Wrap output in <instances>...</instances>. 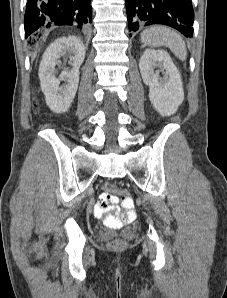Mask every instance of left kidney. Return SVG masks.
I'll use <instances>...</instances> for the list:
<instances>
[{
    "mask_svg": "<svg viewBox=\"0 0 227 298\" xmlns=\"http://www.w3.org/2000/svg\"><path fill=\"white\" fill-rule=\"evenodd\" d=\"M161 67L164 77L154 70ZM143 82L149 86V99L162 115L174 114L184 100L181 76L170 55L164 50L147 49L139 61Z\"/></svg>",
    "mask_w": 227,
    "mask_h": 298,
    "instance_id": "5707ae66",
    "label": "left kidney"
}]
</instances>
